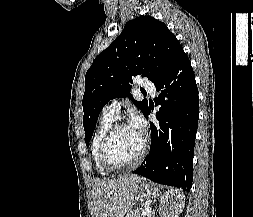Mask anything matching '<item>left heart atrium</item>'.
<instances>
[{
  "label": "left heart atrium",
  "instance_id": "39dd6f15",
  "mask_svg": "<svg viewBox=\"0 0 253 217\" xmlns=\"http://www.w3.org/2000/svg\"><path fill=\"white\" fill-rule=\"evenodd\" d=\"M129 126L134 128L135 130H137L141 134H143V131L145 129V123L143 121V118L138 114H134L132 116Z\"/></svg>",
  "mask_w": 253,
  "mask_h": 217
}]
</instances>
